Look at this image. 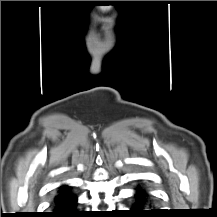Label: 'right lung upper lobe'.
Returning <instances> with one entry per match:
<instances>
[{
	"label": "right lung upper lobe",
	"instance_id": "right-lung-upper-lobe-1",
	"mask_svg": "<svg viewBox=\"0 0 217 217\" xmlns=\"http://www.w3.org/2000/svg\"><path fill=\"white\" fill-rule=\"evenodd\" d=\"M65 188H68V187H67V186H61V187L59 188V191L65 189Z\"/></svg>",
	"mask_w": 217,
	"mask_h": 217
}]
</instances>
